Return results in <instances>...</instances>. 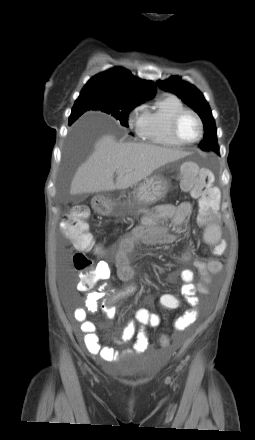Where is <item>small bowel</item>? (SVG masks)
<instances>
[{
    "label": "small bowel",
    "mask_w": 255,
    "mask_h": 440,
    "mask_svg": "<svg viewBox=\"0 0 255 440\" xmlns=\"http://www.w3.org/2000/svg\"><path fill=\"white\" fill-rule=\"evenodd\" d=\"M192 214V205L189 202H183L179 205H160L146 214L141 221L140 226L134 227L125 233L114 252V263L116 274L123 285L118 289H113L108 285L103 286V290L99 292H91L88 294L86 307H79L73 311L74 319L80 323V331L83 333V344L89 353L99 355L105 361L115 362L118 360L119 352L112 347H102L99 343V337L96 334L95 324L87 317V312H96L99 310V300L105 298L101 310L108 319L114 316V306L116 303L134 294L137 286L132 282L135 275V269L131 266L128 255L138 244L150 246L170 245L175 242L176 236L172 232V227L181 226L187 218ZM169 220L170 226L162 224L163 221ZM183 261H192L195 270L199 273L200 281L193 283L195 272L191 269H183L170 275V280L179 278L183 285L181 286V294L187 304L192 308L186 311L175 321V329L177 331L185 330L191 323L196 320L197 313L195 309L199 306L198 294H207L210 291L211 276L217 274L222 269L220 261L193 259L190 255L182 256ZM111 276V266L106 260H101L96 265V281L101 282L109 279ZM160 298H178L173 294H163ZM160 300V299H159ZM135 322L141 325V329L137 334V342L135 349L142 350L149 344L146 327H156L160 323V317L147 308H140L136 311L134 319L127 322L122 332L121 338L117 343H123L131 340L135 333Z\"/></svg>",
    "instance_id": "c3829d8e"
}]
</instances>
